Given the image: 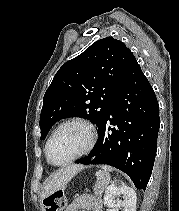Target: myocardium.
Wrapping results in <instances>:
<instances>
[{
  "mask_svg": "<svg viewBox=\"0 0 179 211\" xmlns=\"http://www.w3.org/2000/svg\"><path fill=\"white\" fill-rule=\"evenodd\" d=\"M71 124H77V125H81L82 127H84L87 131L88 134V140L87 143L85 145V147L78 152L75 156H73L71 159H69L68 161L64 162V163H54L49 155V146L50 143L52 141V139L54 138V136L56 135V133L62 129L63 127L67 126V125H71ZM96 140H97V133H96V129L95 126L93 125L92 122H90L87 119L84 118H80V117H73V118H69L63 122H61L50 134L49 138L47 139V142L45 144V156H46V160L47 162L54 166V167H64L67 166L73 162H75L76 160L80 159L81 157L85 156L86 154H88L95 146L96 144Z\"/></svg>",
  "mask_w": 179,
  "mask_h": 211,
  "instance_id": "myocardium-1",
  "label": "myocardium"
}]
</instances>
